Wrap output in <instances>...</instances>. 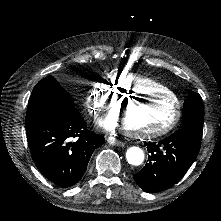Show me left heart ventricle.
<instances>
[{"mask_svg": "<svg viewBox=\"0 0 221 221\" xmlns=\"http://www.w3.org/2000/svg\"><path fill=\"white\" fill-rule=\"evenodd\" d=\"M171 116H173L171 103L161 98H152L148 101L134 100L130 108H123L119 114L120 120L132 128L145 124H161Z\"/></svg>", "mask_w": 221, "mask_h": 221, "instance_id": "obj_1", "label": "left heart ventricle"}]
</instances>
